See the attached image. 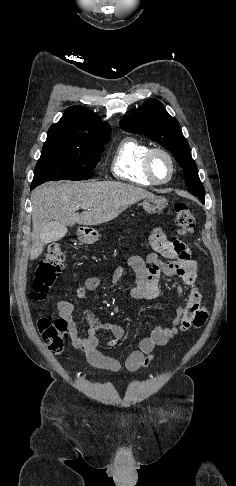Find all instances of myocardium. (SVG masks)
<instances>
[{"mask_svg":"<svg viewBox=\"0 0 236 486\" xmlns=\"http://www.w3.org/2000/svg\"><path fill=\"white\" fill-rule=\"evenodd\" d=\"M156 154H160L162 156H164L167 161L169 162V165H170V173H169V176L165 179V180H158L153 172H152V167H151V164H152V159L153 157L156 155ZM143 172L146 176V178L154 185H163V184H166L168 182L171 181V179L173 178L174 174H175V162H174V159L172 157V155L162 149V148H150L147 153L145 154L144 156V160H143Z\"/></svg>","mask_w":236,"mask_h":486,"instance_id":"myocardium-1","label":"myocardium"}]
</instances>
